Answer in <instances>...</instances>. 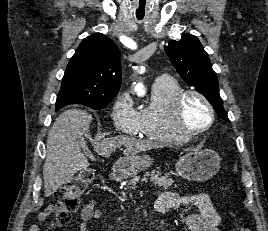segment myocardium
I'll return each instance as SVG.
<instances>
[{
    "label": "myocardium",
    "instance_id": "obj_1",
    "mask_svg": "<svg viewBox=\"0 0 268 231\" xmlns=\"http://www.w3.org/2000/svg\"><path fill=\"white\" fill-rule=\"evenodd\" d=\"M190 96H194L200 99L207 106L210 112L209 122L206 125H203L193 131H187L183 129L180 123L182 115V107L184 105L185 100ZM214 120H215V110L212 103L203 93L197 90L194 89L182 90L175 96V98L172 101L171 122L174 127V130L182 139H189L204 133L213 125Z\"/></svg>",
    "mask_w": 268,
    "mask_h": 231
}]
</instances>
